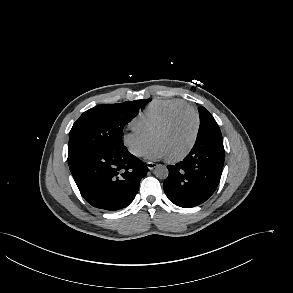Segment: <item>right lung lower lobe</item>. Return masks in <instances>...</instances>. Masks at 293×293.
Instances as JSON below:
<instances>
[{
	"label": "right lung lower lobe",
	"instance_id": "obj_1",
	"mask_svg": "<svg viewBox=\"0 0 293 293\" xmlns=\"http://www.w3.org/2000/svg\"><path fill=\"white\" fill-rule=\"evenodd\" d=\"M76 185L92 206L116 211L135 198L140 180L149 171L124 145L89 153L69 164Z\"/></svg>",
	"mask_w": 293,
	"mask_h": 293
}]
</instances>
